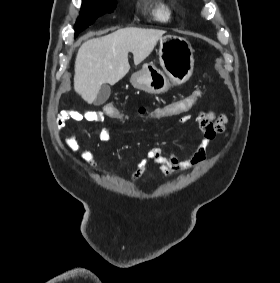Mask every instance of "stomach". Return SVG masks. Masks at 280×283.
Listing matches in <instances>:
<instances>
[{
	"label": "stomach",
	"instance_id": "obj_1",
	"mask_svg": "<svg viewBox=\"0 0 280 283\" xmlns=\"http://www.w3.org/2000/svg\"><path fill=\"white\" fill-rule=\"evenodd\" d=\"M159 61L162 70L153 63L144 64L134 73L131 84L148 93H164L170 83L180 85L190 79L194 69L193 49L189 41L176 35L160 39Z\"/></svg>",
	"mask_w": 280,
	"mask_h": 283
}]
</instances>
